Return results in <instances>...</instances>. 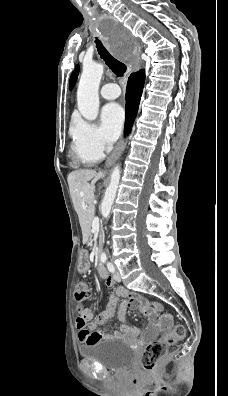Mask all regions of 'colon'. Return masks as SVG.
I'll return each instance as SVG.
<instances>
[{"mask_svg":"<svg viewBox=\"0 0 228 396\" xmlns=\"http://www.w3.org/2000/svg\"><path fill=\"white\" fill-rule=\"evenodd\" d=\"M89 296L90 292L87 284L83 281L77 282L74 289L75 300L80 305L76 321L77 329H83L86 326V319L82 306L88 300ZM183 337L184 328L180 325H176L165 339L150 341L140 360L142 369L147 372L153 371L166 356L168 345L181 340Z\"/></svg>","mask_w":228,"mask_h":396,"instance_id":"1","label":"colon"}]
</instances>
